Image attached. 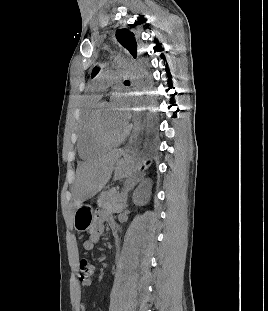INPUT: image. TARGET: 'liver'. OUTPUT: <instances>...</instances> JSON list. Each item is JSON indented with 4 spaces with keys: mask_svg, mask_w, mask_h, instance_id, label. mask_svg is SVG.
Returning a JSON list of instances; mask_svg holds the SVG:
<instances>
[{
    "mask_svg": "<svg viewBox=\"0 0 268 311\" xmlns=\"http://www.w3.org/2000/svg\"><path fill=\"white\" fill-rule=\"evenodd\" d=\"M122 155L123 150H114L78 168L74 190L77 207L104 188L112 176L117 160Z\"/></svg>",
    "mask_w": 268,
    "mask_h": 311,
    "instance_id": "1",
    "label": "liver"
}]
</instances>
